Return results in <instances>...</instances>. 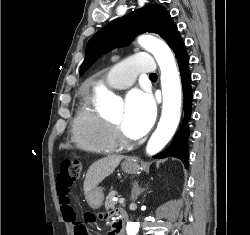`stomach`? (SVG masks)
<instances>
[{
	"label": "stomach",
	"mask_w": 250,
	"mask_h": 235,
	"mask_svg": "<svg viewBox=\"0 0 250 235\" xmlns=\"http://www.w3.org/2000/svg\"><path fill=\"white\" fill-rule=\"evenodd\" d=\"M121 169L127 174H134L138 171V164L131 160L127 159L121 164ZM104 200L103 190L100 187H96L91 190L87 196V202L89 206L93 209H98L102 206Z\"/></svg>",
	"instance_id": "stomach-1"
}]
</instances>
